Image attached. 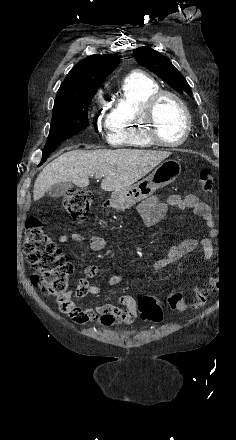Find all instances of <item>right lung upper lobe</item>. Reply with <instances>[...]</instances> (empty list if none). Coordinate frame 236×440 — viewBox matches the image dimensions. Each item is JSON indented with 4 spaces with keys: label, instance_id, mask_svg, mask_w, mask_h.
Masks as SVG:
<instances>
[{
    "label": "right lung upper lobe",
    "instance_id": "obj_1",
    "mask_svg": "<svg viewBox=\"0 0 236 440\" xmlns=\"http://www.w3.org/2000/svg\"><path fill=\"white\" fill-rule=\"evenodd\" d=\"M119 62V57L113 54H94L81 60L61 84L55 104L95 93Z\"/></svg>",
    "mask_w": 236,
    "mask_h": 440
}]
</instances>
